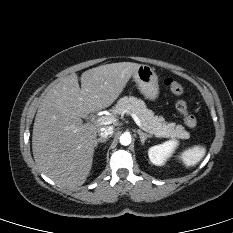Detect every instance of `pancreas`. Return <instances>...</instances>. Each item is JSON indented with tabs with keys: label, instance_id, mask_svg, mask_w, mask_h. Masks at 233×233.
<instances>
[{
	"label": "pancreas",
	"instance_id": "pancreas-1",
	"mask_svg": "<svg viewBox=\"0 0 233 233\" xmlns=\"http://www.w3.org/2000/svg\"><path fill=\"white\" fill-rule=\"evenodd\" d=\"M126 110L132 111L140 119L143 128L150 134L167 138L187 139L190 137L181 125H176L173 122L166 123L162 116L154 115L151 110L147 109L145 103L136 97L120 98L111 112L121 114Z\"/></svg>",
	"mask_w": 233,
	"mask_h": 233
}]
</instances>
